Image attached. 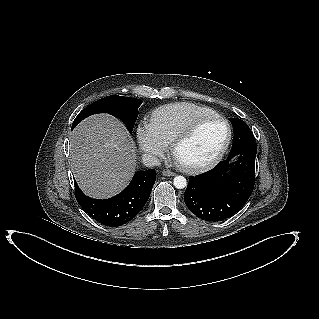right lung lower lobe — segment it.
Wrapping results in <instances>:
<instances>
[{"instance_id": "obj_1", "label": "right lung lower lobe", "mask_w": 319, "mask_h": 319, "mask_svg": "<svg viewBox=\"0 0 319 319\" xmlns=\"http://www.w3.org/2000/svg\"><path fill=\"white\" fill-rule=\"evenodd\" d=\"M155 180L154 169L136 172L125 190L106 200L87 197L74 180L75 196L82 209L97 222L109 227H118L131 221L142 210Z\"/></svg>"}]
</instances>
